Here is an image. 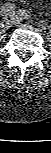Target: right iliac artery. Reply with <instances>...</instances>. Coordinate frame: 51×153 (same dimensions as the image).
Segmentation results:
<instances>
[{
  "label": "right iliac artery",
  "instance_id": "1",
  "mask_svg": "<svg viewBox=\"0 0 51 153\" xmlns=\"http://www.w3.org/2000/svg\"><path fill=\"white\" fill-rule=\"evenodd\" d=\"M15 9V6L10 3H6L0 8V14L3 16V19H6V17Z\"/></svg>",
  "mask_w": 51,
  "mask_h": 153
}]
</instances>
